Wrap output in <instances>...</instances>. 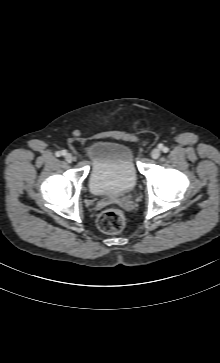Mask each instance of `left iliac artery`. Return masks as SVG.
<instances>
[{
    "mask_svg": "<svg viewBox=\"0 0 220 363\" xmlns=\"http://www.w3.org/2000/svg\"><path fill=\"white\" fill-rule=\"evenodd\" d=\"M164 153H167L169 151L168 147L161 146L160 147Z\"/></svg>",
    "mask_w": 220,
    "mask_h": 363,
    "instance_id": "left-iliac-artery-1",
    "label": "left iliac artery"
}]
</instances>
